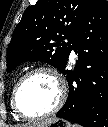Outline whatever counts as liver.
Masks as SVG:
<instances>
[{
	"instance_id": "liver-1",
	"label": "liver",
	"mask_w": 108,
	"mask_h": 127,
	"mask_svg": "<svg viewBox=\"0 0 108 127\" xmlns=\"http://www.w3.org/2000/svg\"><path fill=\"white\" fill-rule=\"evenodd\" d=\"M54 120H55V118H48V119L33 122L31 124L30 123L23 124V125H20L19 127H43V126H46L47 124L51 123Z\"/></svg>"
}]
</instances>
